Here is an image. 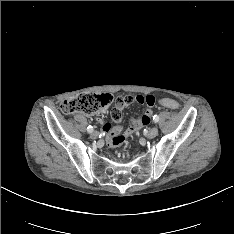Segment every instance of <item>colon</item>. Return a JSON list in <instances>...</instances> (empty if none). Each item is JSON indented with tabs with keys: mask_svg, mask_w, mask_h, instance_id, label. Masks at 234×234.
I'll list each match as a JSON object with an SVG mask.
<instances>
[{
	"mask_svg": "<svg viewBox=\"0 0 234 234\" xmlns=\"http://www.w3.org/2000/svg\"><path fill=\"white\" fill-rule=\"evenodd\" d=\"M112 101V96L107 93H83L64 100L61 103V111L65 115H72L75 113L91 115L106 110L111 105ZM161 102L163 105L167 106L170 109H179V104L175 100L166 98L163 99ZM111 115H113V113H111Z\"/></svg>",
	"mask_w": 234,
	"mask_h": 234,
	"instance_id": "colon-1",
	"label": "colon"
}]
</instances>
